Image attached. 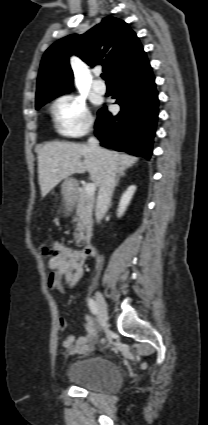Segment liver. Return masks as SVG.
Returning <instances> with one entry per match:
<instances>
[{
	"label": "liver",
	"mask_w": 208,
	"mask_h": 425,
	"mask_svg": "<svg viewBox=\"0 0 208 425\" xmlns=\"http://www.w3.org/2000/svg\"><path fill=\"white\" fill-rule=\"evenodd\" d=\"M102 150L110 153L117 164L125 168L132 167L138 161L134 156ZM103 170V155L93 151L89 145L55 141L46 143L38 151V179L42 197L75 173L89 172L95 185L99 186Z\"/></svg>",
	"instance_id": "obj_1"
}]
</instances>
